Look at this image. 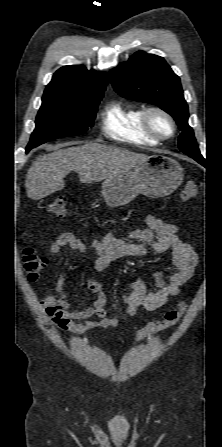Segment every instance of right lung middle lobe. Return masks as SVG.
Listing matches in <instances>:
<instances>
[{
    "mask_svg": "<svg viewBox=\"0 0 222 447\" xmlns=\"http://www.w3.org/2000/svg\"><path fill=\"white\" fill-rule=\"evenodd\" d=\"M103 95L74 96L62 92H44L36 117V128L26 148L47 141L80 134L93 125Z\"/></svg>",
    "mask_w": 222,
    "mask_h": 447,
    "instance_id": "dd1d6c3e",
    "label": "right lung middle lobe"
}]
</instances>
